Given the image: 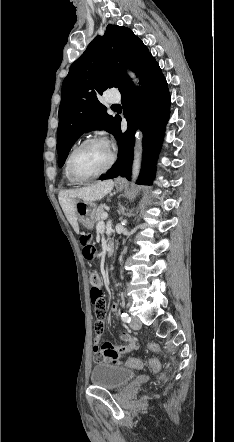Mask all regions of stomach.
Here are the masks:
<instances>
[{
    "label": "stomach",
    "mask_w": 234,
    "mask_h": 442,
    "mask_svg": "<svg viewBox=\"0 0 234 442\" xmlns=\"http://www.w3.org/2000/svg\"><path fill=\"white\" fill-rule=\"evenodd\" d=\"M123 184L116 183V188L122 190ZM97 206L93 202H85L79 200L75 204V210L78 221L87 229L91 230L95 223V212Z\"/></svg>",
    "instance_id": "0dacf381"
}]
</instances>
